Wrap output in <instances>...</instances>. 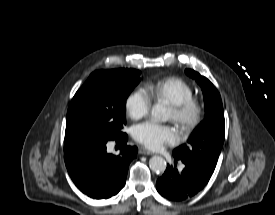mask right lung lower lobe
I'll return each mask as SVG.
<instances>
[{
    "label": "right lung lower lobe",
    "mask_w": 275,
    "mask_h": 215,
    "mask_svg": "<svg viewBox=\"0 0 275 215\" xmlns=\"http://www.w3.org/2000/svg\"><path fill=\"white\" fill-rule=\"evenodd\" d=\"M123 144L119 155L106 151V140L81 139L64 142V160L77 188L94 199L109 198L125 185L130 162L137 147L127 146V135L115 139Z\"/></svg>",
    "instance_id": "98d812e1"
}]
</instances>
